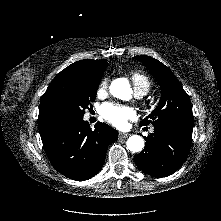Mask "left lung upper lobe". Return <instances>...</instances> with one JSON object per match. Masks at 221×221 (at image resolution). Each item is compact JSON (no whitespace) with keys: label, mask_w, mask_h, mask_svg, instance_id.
<instances>
[{"label":"left lung upper lobe","mask_w":221,"mask_h":221,"mask_svg":"<svg viewBox=\"0 0 221 221\" xmlns=\"http://www.w3.org/2000/svg\"><path fill=\"white\" fill-rule=\"evenodd\" d=\"M152 73L161 87V99L155 110L141 121L140 126L150 123L159 125H177L193 127L194 118L188 94L163 63L150 56H135Z\"/></svg>","instance_id":"5c2ea615"}]
</instances>
